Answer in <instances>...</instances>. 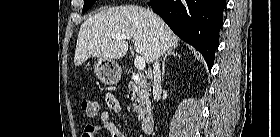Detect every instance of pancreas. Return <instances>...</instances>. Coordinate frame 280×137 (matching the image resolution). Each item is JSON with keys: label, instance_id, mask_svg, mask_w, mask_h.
<instances>
[{"label": "pancreas", "instance_id": "cf45deb5", "mask_svg": "<svg viewBox=\"0 0 280 137\" xmlns=\"http://www.w3.org/2000/svg\"><path fill=\"white\" fill-rule=\"evenodd\" d=\"M128 88L132 91V100H135L134 111L137 113L138 120H144L145 115L151 112V102L149 90L143 80L130 81Z\"/></svg>", "mask_w": 280, "mask_h": 137}]
</instances>
